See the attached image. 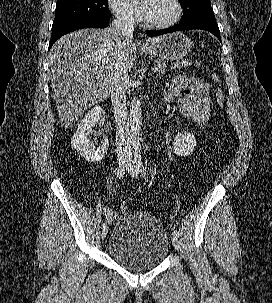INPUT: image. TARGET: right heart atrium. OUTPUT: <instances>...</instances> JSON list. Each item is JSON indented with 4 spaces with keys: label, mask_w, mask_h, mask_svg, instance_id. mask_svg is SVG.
Returning <instances> with one entry per match:
<instances>
[{
    "label": "right heart atrium",
    "mask_w": 272,
    "mask_h": 303,
    "mask_svg": "<svg viewBox=\"0 0 272 303\" xmlns=\"http://www.w3.org/2000/svg\"><path fill=\"white\" fill-rule=\"evenodd\" d=\"M108 4L118 21L125 24L134 23L136 15L127 0H108Z\"/></svg>",
    "instance_id": "1"
}]
</instances>
